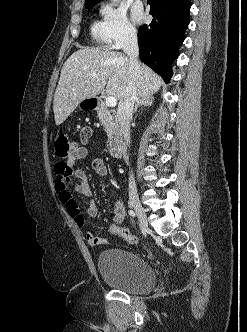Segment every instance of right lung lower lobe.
Instances as JSON below:
<instances>
[{"instance_id": "1", "label": "right lung lower lobe", "mask_w": 247, "mask_h": 332, "mask_svg": "<svg viewBox=\"0 0 247 332\" xmlns=\"http://www.w3.org/2000/svg\"><path fill=\"white\" fill-rule=\"evenodd\" d=\"M147 2L154 19L138 31L140 59L168 83L173 75L172 62L178 56L189 24L191 0Z\"/></svg>"}]
</instances>
